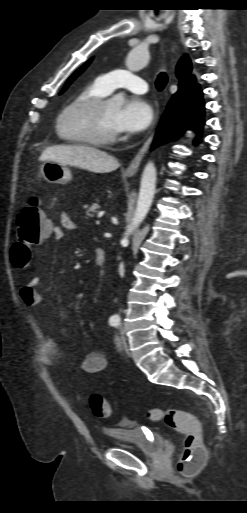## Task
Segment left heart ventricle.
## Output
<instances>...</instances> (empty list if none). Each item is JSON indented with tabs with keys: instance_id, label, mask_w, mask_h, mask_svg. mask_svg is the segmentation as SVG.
<instances>
[{
	"instance_id": "1",
	"label": "left heart ventricle",
	"mask_w": 247,
	"mask_h": 513,
	"mask_svg": "<svg viewBox=\"0 0 247 513\" xmlns=\"http://www.w3.org/2000/svg\"><path fill=\"white\" fill-rule=\"evenodd\" d=\"M119 109V105L115 101L110 100L103 108L98 121L94 126L96 131L107 135L116 134L117 132L114 128V119ZM68 124L71 129H75L80 125V122L76 116L72 115Z\"/></svg>"
}]
</instances>
